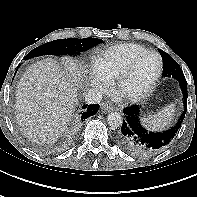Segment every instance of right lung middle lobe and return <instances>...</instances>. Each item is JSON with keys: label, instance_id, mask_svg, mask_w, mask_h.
<instances>
[{"label": "right lung middle lobe", "instance_id": "dd1d6c3e", "mask_svg": "<svg viewBox=\"0 0 197 197\" xmlns=\"http://www.w3.org/2000/svg\"><path fill=\"white\" fill-rule=\"evenodd\" d=\"M100 43H102V40L97 38L58 39L36 47L25 58L30 59L42 55H75Z\"/></svg>", "mask_w": 197, "mask_h": 197}]
</instances>
